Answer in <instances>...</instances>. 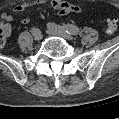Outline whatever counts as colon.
Here are the masks:
<instances>
[{
    "label": "colon",
    "mask_w": 119,
    "mask_h": 119,
    "mask_svg": "<svg viewBox=\"0 0 119 119\" xmlns=\"http://www.w3.org/2000/svg\"><path fill=\"white\" fill-rule=\"evenodd\" d=\"M118 22L115 17L108 19L106 23V30L108 33L112 34L117 30ZM7 38V29L4 25H0V45H4Z\"/></svg>",
    "instance_id": "5ec220e1"
}]
</instances>
